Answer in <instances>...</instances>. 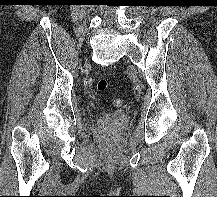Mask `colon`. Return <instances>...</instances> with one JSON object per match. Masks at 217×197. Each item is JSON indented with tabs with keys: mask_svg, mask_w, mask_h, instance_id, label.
Returning <instances> with one entry per match:
<instances>
[{
	"mask_svg": "<svg viewBox=\"0 0 217 197\" xmlns=\"http://www.w3.org/2000/svg\"><path fill=\"white\" fill-rule=\"evenodd\" d=\"M108 86V81L106 78H100L97 81L96 87L98 91H105ZM112 106L120 107L122 105V100L120 98H114L111 101Z\"/></svg>",
	"mask_w": 217,
	"mask_h": 197,
	"instance_id": "1",
	"label": "colon"
}]
</instances>
